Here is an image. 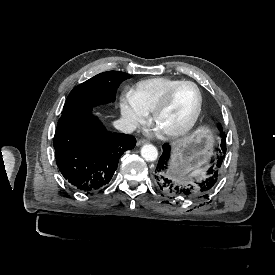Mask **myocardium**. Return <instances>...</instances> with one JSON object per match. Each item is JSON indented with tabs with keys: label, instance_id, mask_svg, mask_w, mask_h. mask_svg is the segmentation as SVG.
Returning <instances> with one entry per match:
<instances>
[{
	"label": "myocardium",
	"instance_id": "obj_1",
	"mask_svg": "<svg viewBox=\"0 0 275 275\" xmlns=\"http://www.w3.org/2000/svg\"><path fill=\"white\" fill-rule=\"evenodd\" d=\"M182 84H191L195 87L197 96H198L197 106H196V109H195L193 115L191 116V118L188 120V122L186 124H184L182 127L178 128V129L170 130V131H166V132L162 133L168 137H178V136H181V135L187 133L195 125V123L197 122V120L201 114V111H202L203 96H202V92H201V89L199 88V86L191 80H179V81H176L175 83H173L166 90V92L164 93L160 102L157 104V106L153 110L152 122H153L154 127H155L154 123H155L158 115L167 108L175 89ZM155 129H156V127H155Z\"/></svg>",
	"mask_w": 275,
	"mask_h": 275
}]
</instances>
